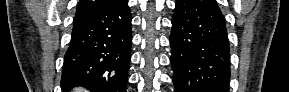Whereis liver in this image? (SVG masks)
Returning a JSON list of instances; mask_svg holds the SVG:
<instances>
[{"label":"liver","instance_id":"obj_1","mask_svg":"<svg viewBox=\"0 0 289 92\" xmlns=\"http://www.w3.org/2000/svg\"><path fill=\"white\" fill-rule=\"evenodd\" d=\"M75 90H77L78 92H83L85 89H83V88H76Z\"/></svg>","mask_w":289,"mask_h":92}]
</instances>
